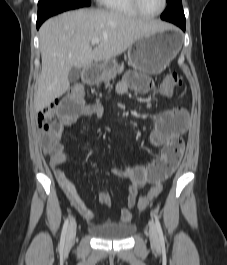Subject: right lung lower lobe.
<instances>
[{
	"mask_svg": "<svg viewBox=\"0 0 227 265\" xmlns=\"http://www.w3.org/2000/svg\"><path fill=\"white\" fill-rule=\"evenodd\" d=\"M41 22H37V28H39V26L41 25Z\"/></svg>",
	"mask_w": 227,
	"mask_h": 265,
	"instance_id": "1",
	"label": "right lung lower lobe"
}]
</instances>
